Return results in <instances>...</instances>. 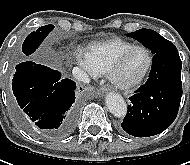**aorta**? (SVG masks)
<instances>
[{
    "label": "aorta",
    "mask_w": 190,
    "mask_h": 165,
    "mask_svg": "<svg viewBox=\"0 0 190 165\" xmlns=\"http://www.w3.org/2000/svg\"><path fill=\"white\" fill-rule=\"evenodd\" d=\"M105 101L112 115L118 118L126 115L127 104L121 95L111 92L106 96Z\"/></svg>",
    "instance_id": "aorta-1"
}]
</instances>
